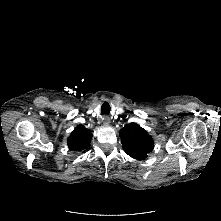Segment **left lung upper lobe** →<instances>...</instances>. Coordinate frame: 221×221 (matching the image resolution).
<instances>
[{
	"mask_svg": "<svg viewBox=\"0 0 221 221\" xmlns=\"http://www.w3.org/2000/svg\"><path fill=\"white\" fill-rule=\"evenodd\" d=\"M124 151L132 158L144 160L154 148V142L145 129L136 123H129L120 130Z\"/></svg>",
	"mask_w": 221,
	"mask_h": 221,
	"instance_id": "5c2ea615",
	"label": "left lung upper lobe"
}]
</instances>
